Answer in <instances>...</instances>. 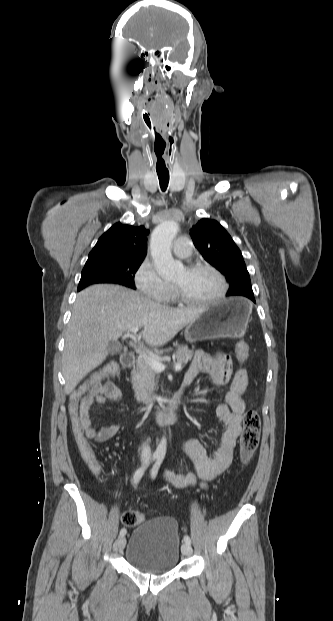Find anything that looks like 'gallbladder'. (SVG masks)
Here are the masks:
<instances>
[{"instance_id":"bac80fb5","label":"gallbladder","mask_w":333,"mask_h":621,"mask_svg":"<svg viewBox=\"0 0 333 621\" xmlns=\"http://www.w3.org/2000/svg\"><path fill=\"white\" fill-rule=\"evenodd\" d=\"M108 351L111 355L118 354L122 351V346L116 341H112L108 345Z\"/></svg>"}]
</instances>
